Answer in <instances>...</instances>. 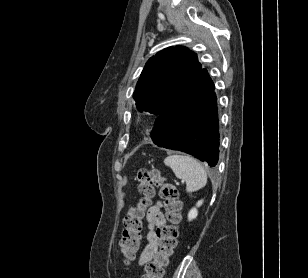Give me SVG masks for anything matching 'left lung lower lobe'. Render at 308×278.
<instances>
[{
    "instance_id": "1",
    "label": "left lung lower lobe",
    "mask_w": 308,
    "mask_h": 278,
    "mask_svg": "<svg viewBox=\"0 0 308 278\" xmlns=\"http://www.w3.org/2000/svg\"><path fill=\"white\" fill-rule=\"evenodd\" d=\"M214 89L206 69L195 74L156 119L151 133L154 144L186 152L215 166L219 123Z\"/></svg>"
}]
</instances>
